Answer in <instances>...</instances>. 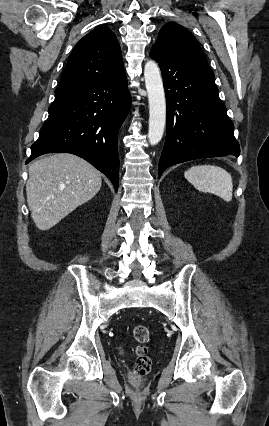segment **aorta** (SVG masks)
Here are the masks:
<instances>
[{
    "mask_svg": "<svg viewBox=\"0 0 269 426\" xmlns=\"http://www.w3.org/2000/svg\"><path fill=\"white\" fill-rule=\"evenodd\" d=\"M144 78L149 102L148 140L151 145H156L164 134L166 100L160 69L155 61L146 62Z\"/></svg>",
    "mask_w": 269,
    "mask_h": 426,
    "instance_id": "aorta-1",
    "label": "aorta"
}]
</instances>
